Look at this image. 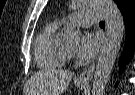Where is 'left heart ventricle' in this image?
I'll return each mask as SVG.
<instances>
[{"label":"left heart ventricle","instance_id":"b2bd125f","mask_svg":"<svg viewBox=\"0 0 135 95\" xmlns=\"http://www.w3.org/2000/svg\"><path fill=\"white\" fill-rule=\"evenodd\" d=\"M74 28L76 29H79V30H83L86 28V26H82V25H78V26H75ZM71 49H74L76 47V43H73V44H70L68 45Z\"/></svg>","mask_w":135,"mask_h":95}]
</instances>
